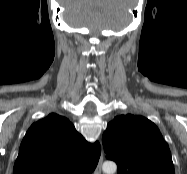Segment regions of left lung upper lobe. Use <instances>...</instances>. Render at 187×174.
Here are the masks:
<instances>
[{
	"instance_id": "obj_1",
	"label": "left lung upper lobe",
	"mask_w": 187,
	"mask_h": 174,
	"mask_svg": "<svg viewBox=\"0 0 187 174\" xmlns=\"http://www.w3.org/2000/svg\"><path fill=\"white\" fill-rule=\"evenodd\" d=\"M106 158L117 163L118 174H174L168 144L147 118L121 115L102 136Z\"/></svg>"
}]
</instances>
